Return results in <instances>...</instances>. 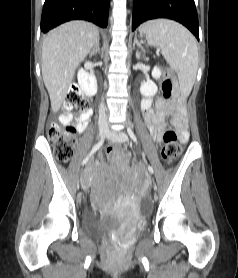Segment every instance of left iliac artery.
<instances>
[{"mask_svg": "<svg viewBox=\"0 0 238 278\" xmlns=\"http://www.w3.org/2000/svg\"><path fill=\"white\" fill-rule=\"evenodd\" d=\"M127 132H128V134H129V136L131 137V139H132L135 143H137V138H136L134 132L132 131V129H131L130 127H127ZM148 170H149L150 173H152V174L154 173V170H153L152 166H150V165H148Z\"/></svg>", "mask_w": 238, "mask_h": 278, "instance_id": "44dca946", "label": "left iliac artery"}]
</instances>
